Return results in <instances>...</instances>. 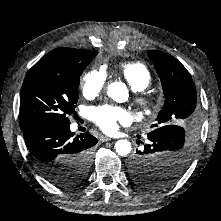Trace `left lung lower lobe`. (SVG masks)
Wrapping results in <instances>:
<instances>
[{
    "instance_id": "left-lung-lower-lobe-1",
    "label": "left lung lower lobe",
    "mask_w": 221,
    "mask_h": 221,
    "mask_svg": "<svg viewBox=\"0 0 221 221\" xmlns=\"http://www.w3.org/2000/svg\"><path fill=\"white\" fill-rule=\"evenodd\" d=\"M173 134H177L173 131H171ZM185 132V130H184ZM167 135V134H166ZM177 137V136H176ZM140 151L137 150L136 154L130 159L129 161V171H130V175L132 172H137L139 174L143 173L142 171H145L147 165L145 164V162L142 160L141 156H139ZM154 176H152V182H156V179L158 178H163L164 176H156V174H153ZM161 175V174H158Z\"/></svg>"
}]
</instances>
